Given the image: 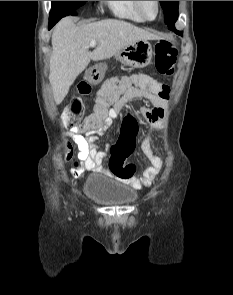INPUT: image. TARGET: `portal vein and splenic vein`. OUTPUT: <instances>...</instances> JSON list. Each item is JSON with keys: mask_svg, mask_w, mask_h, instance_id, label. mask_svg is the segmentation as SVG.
I'll use <instances>...</instances> for the list:
<instances>
[{"mask_svg": "<svg viewBox=\"0 0 233 295\" xmlns=\"http://www.w3.org/2000/svg\"><path fill=\"white\" fill-rule=\"evenodd\" d=\"M89 46L92 47V48L95 47L96 46V41H91L89 43Z\"/></svg>", "mask_w": 233, "mask_h": 295, "instance_id": "1", "label": "portal vein and splenic vein"}]
</instances>
